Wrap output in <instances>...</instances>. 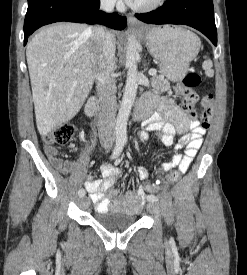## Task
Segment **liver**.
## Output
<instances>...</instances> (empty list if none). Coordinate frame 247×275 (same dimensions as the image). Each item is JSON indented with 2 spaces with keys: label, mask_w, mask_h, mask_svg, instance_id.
Listing matches in <instances>:
<instances>
[{
  "label": "liver",
  "mask_w": 247,
  "mask_h": 275,
  "mask_svg": "<svg viewBox=\"0 0 247 275\" xmlns=\"http://www.w3.org/2000/svg\"><path fill=\"white\" fill-rule=\"evenodd\" d=\"M90 37L91 28L87 25L64 22L41 29L27 45L36 124L41 136L71 120L92 89Z\"/></svg>",
  "instance_id": "1"
}]
</instances>
